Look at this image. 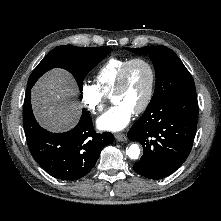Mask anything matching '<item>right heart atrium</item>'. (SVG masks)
Instances as JSON below:
<instances>
[{"label": "right heart atrium", "mask_w": 221, "mask_h": 221, "mask_svg": "<svg viewBox=\"0 0 221 221\" xmlns=\"http://www.w3.org/2000/svg\"><path fill=\"white\" fill-rule=\"evenodd\" d=\"M81 98L86 109L92 114H99L105 107L106 96L97 85L84 82L81 86Z\"/></svg>", "instance_id": "right-heart-atrium-1"}]
</instances>
